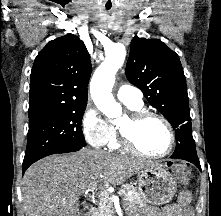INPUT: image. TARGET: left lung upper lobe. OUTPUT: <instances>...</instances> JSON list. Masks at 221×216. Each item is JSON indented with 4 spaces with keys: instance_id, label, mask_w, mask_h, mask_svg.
I'll list each match as a JSON object with an SVG mask.
<instances>
[{
    "instance_id": "left-lung-upper-lobe-1",
    "label": "left lung upper lobe",
    "mask_w": 221,
    "mask_h": 216,
    "mask_svg": "<svg viewBox=\"0 0 221 216\" xmlns=\"http://www.w3.org/2000/svg\"><path fill=\"white\" fill-rule=\"evenodd\" d=\"M126 76L171 123L176 144L187 145L196 152L186 78L179 56L161 40L136 36L131 41Z\"/></svg>"
}]
</instances>
